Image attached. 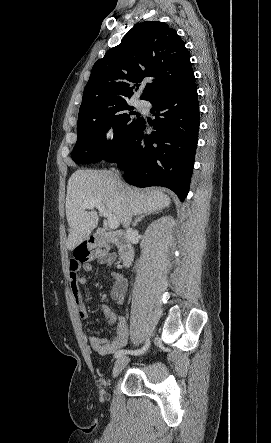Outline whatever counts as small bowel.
Instances as JSON below:
<instances>
[{"instance_id":"small-bowel-1","label":"small bowel","mask_w":271,"mask_h":443,"mask_svg":"<svg viewBox=\"0 0 271 443\" xmlns=\"http://www.w3.org/2000/svg\"><path fill=\"white\" fill-rule=\"evenodd\" d=\"M80 269L84 272H91L93 267L89 263L79 264L71 259L69 264L70 289L75 300L76 309L79 317L81 319H87L88 311L83 302L82 293L80 291V287L87 284V278L78 275V271ZM108 275L113 281L111 297L118 304H121L125 299L127 291V281L121 274L112 269L108 270ZM102 311L107 322L111 326H115L114 335L110 340H101L94 336H90L89 342L91 348L96 353L100 355H109L114 353L115 351L120 350L127 344L129 336L128 325L125 319L119 317L117 313L108 305H103Z\"/></svg>"}]
</instances>
